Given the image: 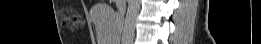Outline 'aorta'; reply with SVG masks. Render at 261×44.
I'll return each instance as SVG.
<instances>
[{
	"label": "aorta",
	"mask_w": 261,
	"mask_h": 44,
	"mask_svg": "<svg viewBox=\"0 0 261 44\" xmlns=\"http://www.w3.org/2000/svg\"><path fill=\"white\" fill-rule=\"evenodd\" d=\"M140 9V0H128V9L125 17L122 42L131 44L134 39L135 25Z\"/></svg>",
	"instance_id": "1"
}]
</instances>
